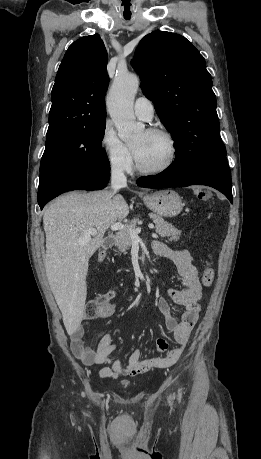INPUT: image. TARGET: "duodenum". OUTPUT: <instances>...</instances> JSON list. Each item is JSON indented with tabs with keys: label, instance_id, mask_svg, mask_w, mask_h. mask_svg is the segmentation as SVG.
I'll return each mask as SVG.
<instances>
[{
	"label": "duodenum",
	"instance_id": "obj_1",
	"mask_svg": "<svg viewBox=\"0 0 261 459\" xmlns=\"http://www.w3.org/2000/svg\"><path fill=\"white\" fill-rule=\"evenodd\" d=\"M115 241V235L111 234V235H108L104 238L103 242H102V247L104 249H107L109 247H111L113 245Z\"/></svg>",
	"mask_w": 261,
	"mask_h": 459
}]
</instances>
